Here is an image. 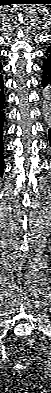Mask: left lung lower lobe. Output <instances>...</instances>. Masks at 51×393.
Here are the masks:
<instances>
[{"label":"left lung lower lobe","instance_id":"obj_1","mask_svg":"<svg viewBox=\"0 0 51 393\" xmlns=\"http://www.w3.org/2000/svg\"><path fill=\"white\" fill-rule=\"evenodd\" d=\"M46 58L43 61L42 69H43V80L42 84L49 91H51V52H46ZM49 140L51 145V128L49 130Z\"/></svg>","mask_w":51,"mask_h":393}]
</instances>
